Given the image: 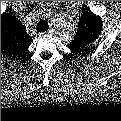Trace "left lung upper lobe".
Listing matches in <instances>:
<instances>
[{
  "instance_id": "obj_1",
  "label": "left lung upper lobe",
  "mask_w": 121,
  "mask_h": 121,
  "mask_svg": "<svg viewBox=\"0 0 121 121\" xmlns=\"http://www.w3.org/2000/svg\"><path fill=\"white\" fill-rule=\"evenodd\" d=\"M102 31V20L91 11H85L79 21L75 39L70 44L74 53H79L96 40Z\"/></svg>"
}]
</instances>
